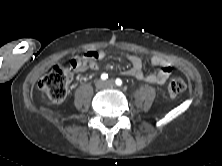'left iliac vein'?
Masks as SVG:
<instances>
[{"mask_svg":"<svg viewBox=\"0 0 222 166\" xmlns=\"http://www.w3.org/2000/svg\"><path fill=\"white\" fill-rule=\"evenodd\" d=\"M105 85H106V86H113V85H114V81H113V80H107V81L105 82Z\"/></svg>","mask_w":222,"mask_h":166,"instance_id":"1","label":"left iliac vein"}]
</instances>
